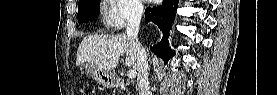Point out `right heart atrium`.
I'll use <instances>...</instances> for the list:
<instances>
[{"label": "right heart atrium", "instance_id": "right-heart-atrium-1", "mask_svg": "<svg viewBox=\"0 0 277 95\" xmlns=\"http://www.w3.org/2000/svg\"><path fill=\"white\" fill-rule=\"evenodd\" d=\"M112 7L106 13V24L114 30H120L129 21L141 14V4L138 0H110Z\"/></svg>", "mask_w": 277, "mask_h": 95}]
</instances>
